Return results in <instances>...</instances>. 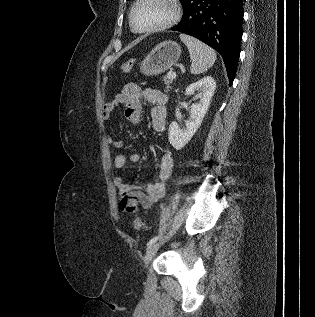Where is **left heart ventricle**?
<instances>
[{
    "label": "left heart ventricle",
    "mask_w": 315,
    "mask_h": 317,
    "mask_svg": "<svg viewBox=\"0 0 315 317\" xmlns=\"http://www.w3.org/2000/svg\"><path fill=\"white\" fill-rule=\"evenodd\" d=\"M171 14L167 0H144L135 10L134 23L140 29L150 28L164 23Z\"/></svg>",
    "instance_id": "left-heart-ventricle-1"
}]
</instances>
